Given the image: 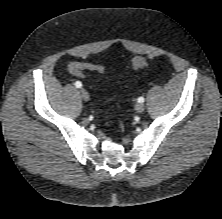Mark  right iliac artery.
Instances as JSON below:
<instances>
[{"instance_id":"right-iliac-artery-1","label":"right iliac artery","mask_w":222,"mask_h":219,"mask_svg":"<svg viewBox=\"0 0 222 219\" xmlns=\"http://www.w3.org/2000/svg\"><path fill=\"white\" fill-rule=\"evenodd\" d=\"M75 86H76V88H81L82 83L80 81H77V82H75Z\"/></svg>"}]
</instances>
